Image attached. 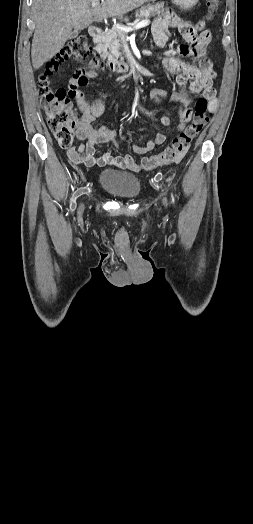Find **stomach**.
<instances>
[{
  "instance_id": "stomach-1",
  "label": "stomach",
  "mask_w": 253,
  "mask_h": 524,
  "mask_svg": "<svg viewBox=\"0 0 253 524\" xmlns=\"http://www.w3.org/2000/svg\"><path fill=\"white\" fill-rule=\"evenodd\" d=\"M199 0H172V2L184 10L193 8Z\"/></svg>"
}]
</instances>
